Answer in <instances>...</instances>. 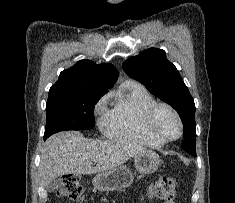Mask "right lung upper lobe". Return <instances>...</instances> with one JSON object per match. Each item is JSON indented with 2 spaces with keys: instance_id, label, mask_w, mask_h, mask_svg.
Here are the masks:
<instances>
[{
  "instance_id": "obj_1",
  "label": "right lung upper lobe",
  "mask_w": 235,
  "mask_h": 203,
  "mask_svg": "<svg viewBox=\"0 0 235 203\" xmlns=\"http://www.w3.org/2000/svg\"><path fill=\"white\" fill-rule=\"evenodd\" d=\"M117 78L118 71L113 65L96 64L85 59L62 71L58 81L50 89L90 88L106 92L113 86Z\"/></svg>"
}]
</instances>
